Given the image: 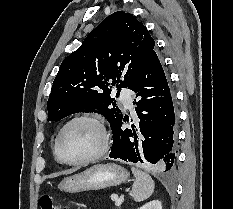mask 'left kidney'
Instances as JSON below:
<instances>
[{
  "label": "left kidney",
  "instance_id": "left-kidney-1",
  "mask_svg": "<svg viewBox=\"0 0 233 209\" xmlns=\"http://www.w3.org/2000/svg\"><path fill=\"white\" fill-rule=\"evenodd\" d=\"M139 209H162V204L159 200H152Z\"/></svg>",
  "mask_w": 233,
  "mask_h": 209
}]
</instances>
